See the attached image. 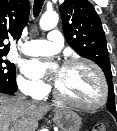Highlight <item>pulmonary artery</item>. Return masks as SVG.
I'll return each instance as SVG.
<instances>
[{
  "label": "pulmonary artery",
  "mask_w": 117,
  "mask_h": 131,
  "mask_svg": "<svg viewBox=\"0 0 117 131\" xmlns=\"http://www.w3.org/2000/svg\"><path fill=\"white\" fill-rule=\"evenodd\" d=\"M63 46V37L58 30L48 33L46 40H30L23 44L22 50L30 56H46L56 53Z\"/></svg>",
  "instance_id": "1"
}]
</instances>
